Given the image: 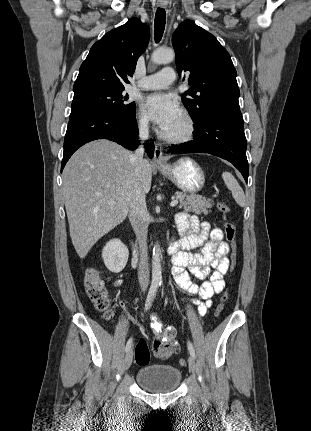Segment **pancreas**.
Returning a JSON list of instances; mask_svg holds the SVG:
<instances>
[{
	"mask_svg": "<svg viewBox=\"0 0 311 431\" xmlns=\"http://www.w3.org/2000/svg\"><path fill=\"white\" fill-rule=\"evenodd\" d=\"M178 200H181L178 208H183L184 212H194V214H204L207 216L213 208L212 200H206L203 196H196V194H185V192H175Z\"/></svg>",
	"mask_w": 311,
	"mask_h": 431,
	"instance_id": "1",
	"label": "pancreas"
}]
</instances>
